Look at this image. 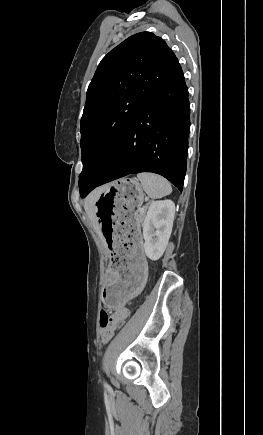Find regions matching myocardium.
<instances>
[{
  "label": "myocardium",
  "mask_w": 263,
  "mask_h": 435,
  "mask_svg": "<svg viewBox=\"0 0 263 435\" xmlns=\"http://www.w3.org/2000/svg\"><path fill=\"white\" fill-rule=\"evenodd\" d=\"M110 158H111V154L109 153L105 154L101 159V163L108 161Z\"/></svg>",
  "instance_id": "myocardium-1"
}]
</instances>
